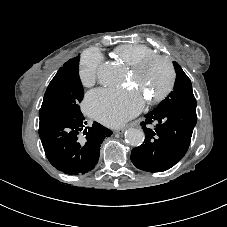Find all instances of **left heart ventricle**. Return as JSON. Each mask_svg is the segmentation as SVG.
<instances>
[{
	"label": "left heart ventricle",
	"mask_w": 227,
	"mask_h": 227,
	"mask_svg": "<svg viewBox=\"0 0 227 227\" xmlns=\"http://www.w3.org/2000/svg\"><path fill=\"white\" fill-rule=\"evenodd\" d=\"M130 81L142 96L151 99L167 85L168 71L164 63L155 62L139 76L132 73Z\"/></svg>",
	"instance_id": "1"
}]
</instances>
